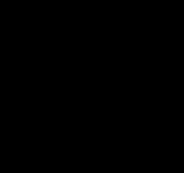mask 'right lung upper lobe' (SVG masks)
<instances>
[{"instance_id":"obj_1","label":"right lung upper lobe","mask_w":184,"mask_h":173,"mask_svg":"<svg viewBox=\"0 0 184 173\" xmlns=\"http://www.w3.org/2000/svg\"><path fill=\"white\" fill-rule=\"evenodd\" d=\"M76 51L56 47L35 62L19 83L12 102V123L16 131L45 125L69 116L68 75Z\"/></svg>"}]
</instances>
